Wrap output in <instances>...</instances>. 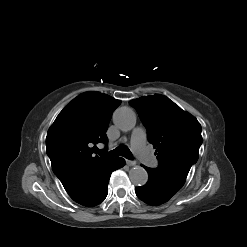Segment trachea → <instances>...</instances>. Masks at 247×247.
I'll return each mask as SVG.
<instances>
[{
  "label": "trachea",
  "instance_id": "obj_1",
  "mask_svg": "<svg viewBox=\"0 0 247 247\" xmlns=\"http://www.w3.org/2000/svg\"><path fill=\"white\" fill-rule=\"evenodd\" d=\"M98 154L101 155L102 152L98 151ZM108 156L111 157H118V156H123L127 159H132V154L130 152V150L128 149L127 146L121 145L118 146L117 148H115L113 151H111Z\"/></svg>",
  "mask_w": 247,
  "mask_h": 247
}]
</instances>
